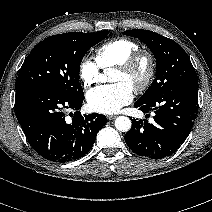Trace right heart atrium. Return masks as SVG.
<instances>
[{
	"label": "right heart atrium",
	"mask_w": 212,
	"mask_h": 212,
	"mask_svg": "<svg viewBox=\"0 0 212 212\" xmlns=\"http://www.w3.org/2000/svg\"><path fill=\"white\" fill-rule=\"evenodd\" d=\"M78 76L85 88H88L99 80L100 67L97 62L91 58H83L79 63Z\"/></svg>",
	"instance_id": "d8ad5b80"
}]
</instances>
